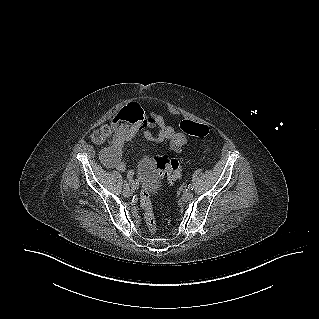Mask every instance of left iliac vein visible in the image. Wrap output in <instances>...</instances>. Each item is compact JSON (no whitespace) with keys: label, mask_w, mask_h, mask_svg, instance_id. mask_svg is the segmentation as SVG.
<instances>
[{"label":"left iliac vein","mask_w":319,"mask_h":319,"mask_svg":"<svg viewBox=\"0 0 319 319\" xmlns=\"http://www.w3.org/2000/svg\"><path fill=\"white\" fill-rule=\"evenodd\" d=\"M182 199L186 202L188 201H191L193 199V193L192 192H185L183 195H182Z\"/></svg>","instance_id":"obj_1"}]
</instances>
